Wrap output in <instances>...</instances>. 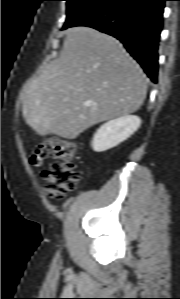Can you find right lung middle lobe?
I'll return each instance as SVG.
<instances>
[{
    "instance_id": "1",
    "label": "right lung middle lobe",
    "mask_w": 180,
    "mask_h": 299,
    "mask_svg": "<svg viewBox=\"0 0 180 299\" xmlns=\"http://www.w3.org/2000/svg\"><path fill=\"white\" fill-rule=\"evenodd\" d=\"M67 1V18L63 29L69 27L80 16L89 11L91 8L103 0H66Z\"/></svg>"
}]
</instances>
